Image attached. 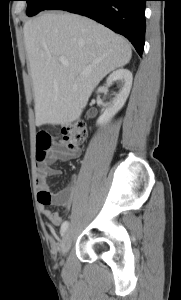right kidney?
<instances>
[{"label": "right kidney", "instance_id": "right-kidney-1", "mask_svg": "<svg viewBox=\"0 0 181 300\" xmlns=\"http://www.w3.org/2000/svg\"><path fill=\"white\" fill-rule=\"evenodd\" d=\"M133 76L128 69H118L111 73L106 80L109 87L113 82H119L120 91L115 95L113 101L108 105L103 114L97 120V125L107 124L114 115L124 106L132 86Z\"/></svg>", "mask_w": 181, "mask_h": 300}]
</instances>
